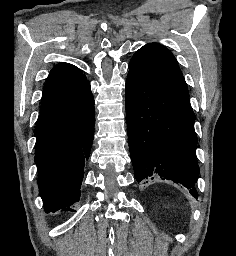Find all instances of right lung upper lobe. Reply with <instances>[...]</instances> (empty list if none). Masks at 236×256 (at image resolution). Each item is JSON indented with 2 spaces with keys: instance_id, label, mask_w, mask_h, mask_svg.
<instances>
[{
  "instance_id": "right-lung-upper-lobe-1",
  "label": "right lung upper lobe",
  "mask_w": 236,
  "mask_h": 256,
  "mask_svg": "<svg viewBox=\"0 0 236 256\" xmlns=\"http://www.w3.org/2000/svg\"><path fill=\"white\" fill-rule=\"evenodd\" d=\"M86 76L76 66L60 62L51 70L43 89L41 110L86 82Z\"/></svg>"
}]
</instances>
